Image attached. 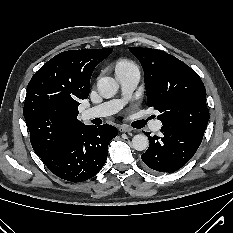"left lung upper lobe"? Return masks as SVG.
<instances>
[{"label":"left lung upper lobe","mask_w":233,"mask_h":233,"mask_svg":"<svg viewBox=\"0 0 233 233\" xmlns=\"http://www.w3.org/2000/svg\"><path fill=\"white\" fill-rule=\"evenodd\" d=\"M141 62L148 106L160 112L163 126L203 138L209 111L206 90L200 77L176 57L157 49L130 47Z\"/></svg>","instance_id":"5c2ea615"}]
</instances>
